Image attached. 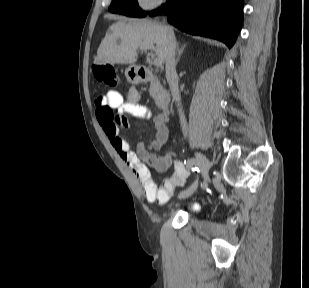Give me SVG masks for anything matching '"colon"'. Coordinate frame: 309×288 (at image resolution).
<instances>
[{
  "label": "colon",
  "mask_w": 309,
  "mask_h": 288,
  "mask_svg": "<svg viewBox=\"0 0 309 288\" xmlns=\"http://www.w3.org/2000/svg\"><path fill=\"white\" fill-rule=\"evenodd\" d=\"M94 72H95V77L96 80L107 86V87H115L118 84V76L117 73L115 71V69L109 65V64H96L94 66ZM114 121L118 124V125H126L127 124V118L126 116L122 113V114H118L115 116Z\"/></svg>",
  "instance_id": "colon-1"
}]
</instances>
